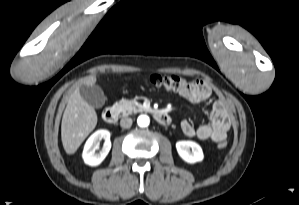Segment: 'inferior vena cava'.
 Returning a JSON list of instances; mask_svg holds the SVG:
<instances>
[{
	"mask_svg": "<svg viewBox=\"0 0 299 205\" xmlns=\"http://www.w3.org/2000/svg\"><path fill=\"white\" fill-rule=\"evenodd\" d=\"M132 119L129 118V117H123L121 120H120V126L122 128H130L132 126Z\"/></svg>",
	"mask_w": 299,
	"mask_h": 205,
	"instance_id": "602c4592",
	"label": "inferior vena cava"
}]
</instances>
